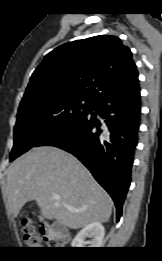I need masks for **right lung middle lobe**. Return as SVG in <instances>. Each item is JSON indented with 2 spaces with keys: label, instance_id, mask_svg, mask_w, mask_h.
<instances>
[{
  "label": "right lung middle lobe",
  "instance_id": "right-lung-middle-lobe-1",
  "mask_svg": "<svg viewBox=\"0 0 162 261\" xmlns=\"http://www.w3.org/2000/svg\"><path fill=\"white\" fill-rule=\"evenodd\" d=\"M93 104L92 100L72 95L34 97L21 101L10 161L34 147L54 130L86 116Z\"/></svg>",
  "mask_w": 162,
  "mask_h": 261
}]
</instances>
